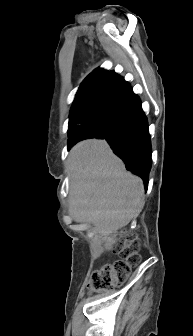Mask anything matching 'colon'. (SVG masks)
Listing matches in <instances>:
<instances>
[{
	"label": "colon",
	"instance_id": "obj_1",
	"mask_svg": "<svg viewBox=\"0 0 193 336\" xmlns=\"http://www.w3.org/2000/svg\"><path fill=\"white\" fill-rule=\"evenodd\" d=\"M124 242L118 250L119 258L96 269L89 280L92 292H103L117 284L123 283L130 274L131 268L140 260L139 246L136 239L126 233Z\"/></svg>",
	"mask_w": 193,
	"mask_h": 336
}]
</instances>
